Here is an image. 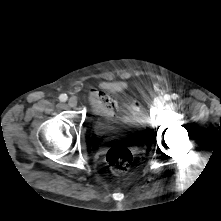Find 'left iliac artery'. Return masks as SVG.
<instances>
[{"instance_id": "44dca946", "label": "left iliac artery", "mask_w": 221, "mask_h": 221, "mask_svg": "<svg viewBox=\"0 0 221 221\" xmlns=\"http://www.w3.org/2000/svg\"><path fill=\"white\" fill-rule=\"evenodd\" d=\"M171 98H172V99H177V98H178V95L174 93V94H172L171 96L168 95V94H166V95L164 96V99L167 100V101L170 100Z\"/></svg>"}]
</instances>
